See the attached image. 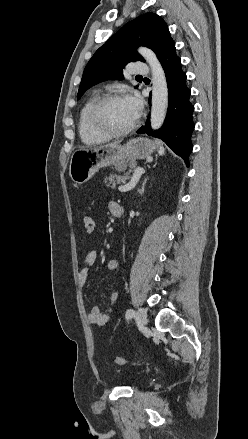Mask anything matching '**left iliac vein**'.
Returning <instances> with one entry per match:
<instances>
[{
    "label": "left iliac vein",
    "mask_w": 248,
    "mask_h": 439,
    "mask_svg": "<svg viewBox=\"0 0 248 439\" xmlns=\"http://www.w3.org/2000/svg\"><path fill=\"white\" fill-rule=\"evenodd\" d=\"M135 319L141 326H146L147 325V313H146L145 309L139 308L136 315H135Z\"/></svg>",
    "instance_id": "obj_1"
}]
</instances>
